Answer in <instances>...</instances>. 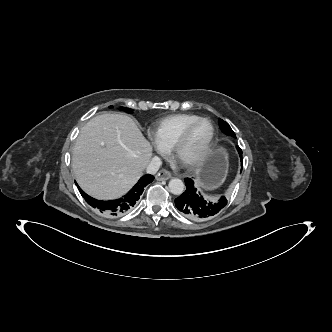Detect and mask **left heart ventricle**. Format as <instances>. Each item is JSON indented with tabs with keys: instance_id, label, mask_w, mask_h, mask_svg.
Wrapping results in <instances>:
<instances>
[{
	"instance_id": "1",
	"label": "left heart ventricle",
	"mask_w": 332,
	"mask_h": 332,
	"mask_svg": "<svg viewBox=\"0 0 332 332\" xmlns=\"http://www.w3.org/2000/svg\"><path fill=\"white\" fill-rule=\"evenodd\" d=\"M211 127L208 122L198 123L189 134L181 148L179 159L188 161L198 154L210 137Z\"/></svg>"
}]
</instances>
